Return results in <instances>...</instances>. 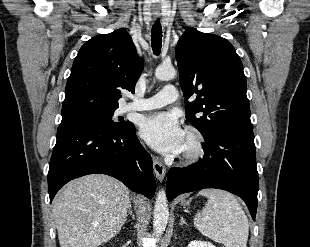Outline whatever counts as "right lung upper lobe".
I'll return each mask as SVG.
<instances>
[{
	"label": "right lung upper lobe",
	"mask_w": 310,
	"mask_h": 247,
	"mask_svg": "<svg viewBox=\"0 0 310 247\" xmlns=\"http://www.w3.org/2000/svg\"><path fill=\"white\" fill-rule=\"evenodd\" d=\"M142 70L143 60L125 30L95 36L74 60L62 110L77 106L117 109L121 90L134 93Z\"/></svg>",
	"instance_id": "obj_1"
}]
</instances>
